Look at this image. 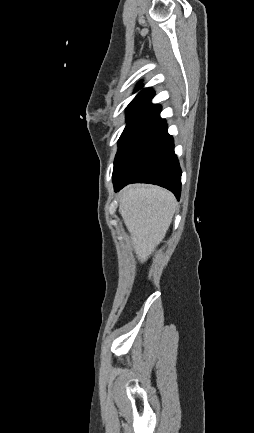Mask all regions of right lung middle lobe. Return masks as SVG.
<instances>
[{
	"label": "right lung middle lobe",
	"instance_id": "dd1d6c3e",
	"mask_svg": "<svg viewBox=\"0 0 254 433\" xmlns=\"http://www.w3.org/2000/svg\"><path fill=\"white\" fill-rule=\"evenodd\" d=\"M142 106L140 105H129L127 108V120H129ZM122 137V135H121ZM120 137V139H121ZM119 139V141H120Z\"/></svg>",
	"mask_w": 254,
	"mask_h": 433
}]
</instances>
